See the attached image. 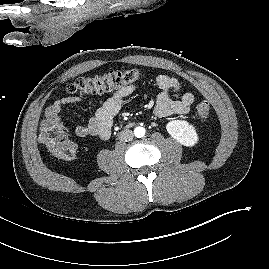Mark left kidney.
I'll use <instances>...</instances> for the list:
<instances>
[{
    "label": "left kidney",
    "mask_w": 269,
    "mask_h": 269,
    "mask_svg": "<svg viewBox=\"0 0 269 269\" xmlns=\"http://www.w3.org/2000/svg\"><path fill=\"white\" fill-rule=\"evenodd\" d=\"M167 132L180 144L192 147L198 143L199 137L195 127L184 120H173L166 125Z\"/></svg>",
    "instance_id": "left-kidney-1"
}]
</instances>
